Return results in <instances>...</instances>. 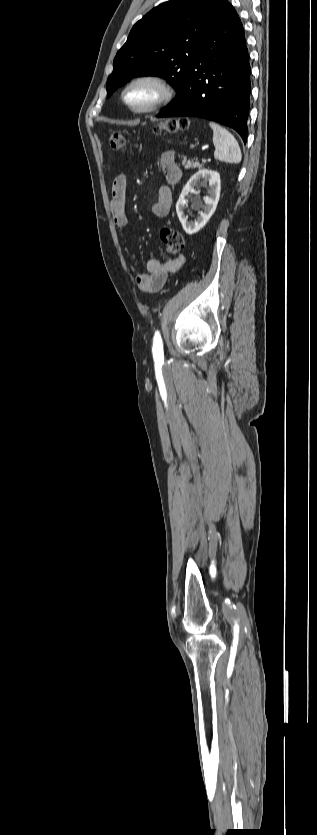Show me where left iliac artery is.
Segmentation results:
<instances>
[{
	"mask_svg": "<svg viewBox=\"0 0 317 835\" xmlns=\"http://www.w3.org/2000/svg\"><path fill=\"white\" fill-rule=\"evenodd\" d=\"M152 353L155 361H163V342L159 331H156L154 334Z\"/></svg>",
	"mask_w": 317,
	"mask_h": 835,
	"instance_id": "obj_1",
	"label": "left iliac artery"
}]
</instances>
